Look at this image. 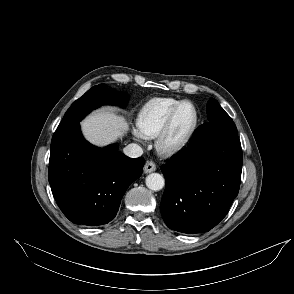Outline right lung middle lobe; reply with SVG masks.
Segmentation results:
<instances>
[{"mask_svg":"<svg viewBox=\"0 0 294 294\" xmlns=\"http://www.w3.org/2000/svg\"><path fill=\"white\" fill-rule=\"evenodd\" d=\"M126 95L120 93L113 103L115 105H124L126 102ZM99 104H94L90 95L86 92L81 98L76 100L65 113L59 127H64L81 121L89 112L99 107Z\"/></svg>","mask_w":294,"mask_h":294,"instance_id":"dd1d6c3e","label":"right lung middle lobe"}]
</instances>
